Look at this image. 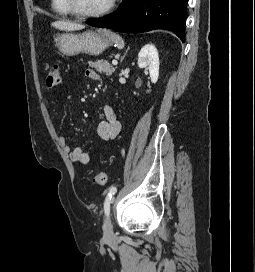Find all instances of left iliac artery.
<instances>
[{
    "label": "left iliac artery",
    "mask_w": 255,
    "mask_h": 272,
    "mask_svg": "<svg viewBox=\"0 0 255 272\" xmlns=\"http://www.w3.org/2000/svg\"><path fill=\"white\" fill-rule=\"evenodd\" d=\"M117 192V188L115 186L111 187L106 198H105V202H104V212L105 215H109L110 212V203L112 201V197L115 195V193Z\"/></svg>",
    "instance_id": "44dca946"
}]
</instances>
